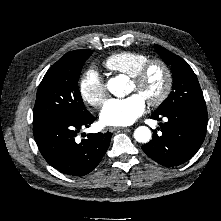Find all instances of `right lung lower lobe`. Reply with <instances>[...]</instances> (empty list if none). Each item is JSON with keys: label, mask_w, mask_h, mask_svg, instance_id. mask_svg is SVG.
<instances>
[{"label": "right lung lower lobe", "mask_w": 221, "mask_h": 221, "mask_svg": "<svg viewBox=\"0 0 221 221\" xmlns=\"http://www.w3.org/2000/svg\"><path fill=\"white\" fill-rule=\"evenodd\" d=\"M95 117L87 112L80 117H69L40 125H33L38 148L45 160L64 174L82 176L94 170L102 160L112 133L88 134L79 142L77 134L89 127Z\"/></svg>", "instance_id": "obj_1"}]
</instances>
